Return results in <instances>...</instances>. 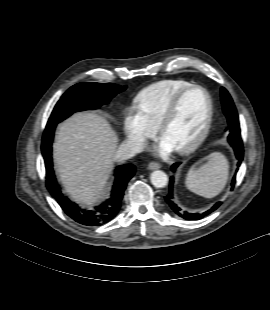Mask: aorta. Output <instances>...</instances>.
Segmentation results:
<instances>
[{
    "label": "aorta",
    "mask_w": 270,
    "mask_h": 310,
    "mask_svg": "<svg viewBox=\"0 0 270 310\" xmlns=\"http://www.w3.org/2000/svg\"><path fill=\"white\" fill-rule=\"evenodd\" d=\"M150 180L156 188H163L168 184V176L161 170H155L150 175Z\"/></svg>",
    "instance_id": "1"
}]
</instances>
